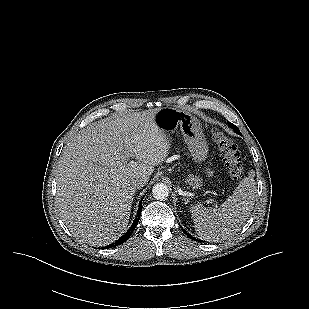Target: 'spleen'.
<instances>
[{
    "instance_id": "3e777b00",
    "label": "spleen",
    "mask_w": 309,
    "mask_h": 309,
    "mask_svg": "<svg viewBox=\"0 0 309 309\" xmlns=\"http://www.w3.org/2000/svg\"><path fill=\"white\" fill-rule=\"evenodd\" d=\"M256 200L255 180L242 179L233 194L218 208L201 204L190 208L197 235L207 241L226 240L239 231L253 210Z\"/></svg>"
}]
</instances>
